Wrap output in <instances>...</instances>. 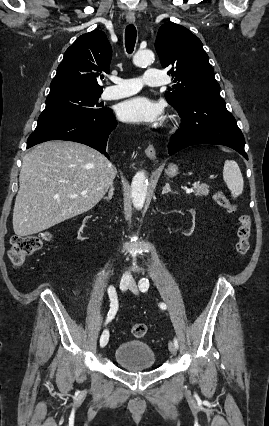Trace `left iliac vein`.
<instances>
[{
	"mask_svg": "<svg viewBox=\"0 0 269 426\" xmlns=\"http://www.w3.org/2000/svg\"><path fill=\"white\" fill-rule=\"evenodd\" d=\"M129 289L134 293V294H138V288H137V284L135 281H131L129 284ZM168 349L170 351V353L172 355H176V346L172 341L168 342Z\"/></svg>",
	"mask_w": 269,
	"mask_h": 426,
	"instance_id": "4c4485c4",
	"label": "left iliac vein"
}]
</instances>
